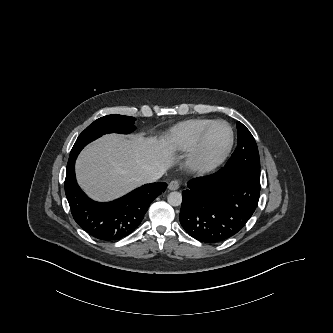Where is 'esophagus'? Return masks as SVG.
I'll list each match as a JSON object with an SVG mask.
<instances>
[{"label": "esophagus", "mask_w": 333, "mask_h": 333, "mask_svg": "<svg viewBox=\"0 0 333 333\" xmlns=\"http://www.w3.org/2000/svg\"><path fill=\"white\" fill-rule=\"evenodd\" d=\"M180 187V183L178 180H172L169 184H168V188L169 190H177Z\"/></svg>", "instance_id": "esophagus-1"}]
</instances>
